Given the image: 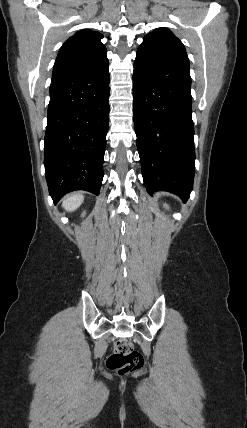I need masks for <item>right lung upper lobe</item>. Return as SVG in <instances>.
<instances>
[{"label": "right lung upper lobe", "instance_id": "cb5924a9", "mask_svg": "<svg viewBox=\"0 0 247 428\" xmlns=\"http://www.w3.org/2000/svg\"><path fill=\"white\" fill-rule=\"evenodd\" d=\"M101 38V33L85 29L67 39L59 50L52 77L85 69L105 57Z\"/></svg>", "mask_w": 247, "mask_h": 428}]
</instances>
